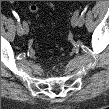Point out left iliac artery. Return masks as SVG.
Listing matches in <instances>:
<instances>
[{
	"mask_svg": "<svg viewBox=\"0 0 109 109\" xmlns=\"http://www.w3.org/2000/svg\"><path fill=\"white\" fill-rule=\"evenodd\" d=\"M87 10H88V6H85L84 9L81 12L80 19H79L80 20V26H82L83 23H84V17H85V13H86Z\"/></svg>",
	"mask_w": 109,
	"mask_h": 109,
	"instance_id": "44dca946",
	"label": "left iliac artery"
}]
</instances>
